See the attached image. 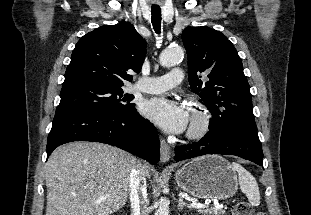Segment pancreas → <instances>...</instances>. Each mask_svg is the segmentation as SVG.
<instances>
[{
	"instance_id": "pancreas-1",
	"label": "pancreas",
	"mask_w": 311,
	"mask_h": 215,
	"mask_svg": "<svg viewBox=\"0 0 311 215\" xmlns=\"http://www.w3.org/2000/svg\"><path fill=\"white\" fill-rule=\"evenodd\" d=\"M199 211L204 215H223L225 213V210H223L222 208H215V207L210 208L208 206L199 209Z\"/></svg>"
}]
</instances>
